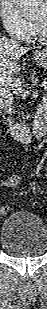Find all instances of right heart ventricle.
Listing matches in <instances>:
<instances>
[{
    "instance_id": "1",
    "label": "right heart ventricle",
    "mask_w": 47,
    "mask_h": 309,
    "mask_svg": "<svg viewBox=\"0 0 47 309\" xmlns=\"http://www.w3.org/2000/svg\"><path fill=\"white\" fill-rule=\"evenodd\" d=\"M35 36H36V34H35V32H34L33 35H32L28 40L34 39Z\"/></svg>"
}]
</instances>
